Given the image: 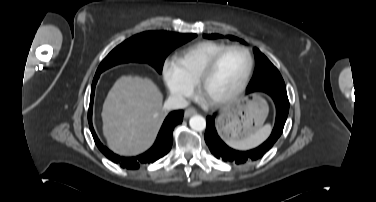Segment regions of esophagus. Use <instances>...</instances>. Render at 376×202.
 I'll list each match as a JSON object with an SVG mask.
<instances>
[{"mask_svg":"<svg viewBox=\"0 0 376 202\" xmlns=\"http://www.w3.org/2000/svg\"><path fill=\"white\" fill-rule=\"evenodd\" d=\"M196 113H197L196 109L193 107H190L185 110L184 116L185 118H189L190 116L195 115Z\"/></svg>","mask_w":376,"mask_h":202,"instance_id":"1","label":"esophagus"}]
</instances>
